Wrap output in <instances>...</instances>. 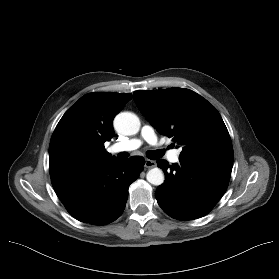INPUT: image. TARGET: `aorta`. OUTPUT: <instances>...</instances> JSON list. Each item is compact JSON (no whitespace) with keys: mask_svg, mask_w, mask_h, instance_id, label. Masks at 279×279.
<instances>
[{"mask_svg":"<svg viewBox=\"0 0 279 279\" xmlns=\"http://www.w3.org/2000/svg\"><path fill=\"white\" fill-rule=\"evenodd\" d=\"M114 126L118 133L123 135H135L140 129L139 118L131 112H121L114 119ZM147 181L159 186L164 182V174L160 168H153L147 172Z\"/></svg>","mask_w":279,"mask_h":279,"instance_id":"1","label":"aorta"}]
</instances>
